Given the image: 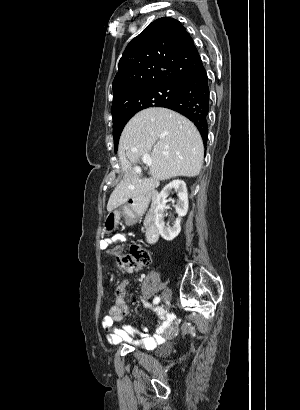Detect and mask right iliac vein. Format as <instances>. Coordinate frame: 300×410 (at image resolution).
I'll return each instance as SVG.
<instances>
[{
  "label": "right iliac vein",
  "instance_id": "obj_1",
  "mask_svg": "<svg viewBox=\"0 0 300 410\" xmlns=\"http://www.w3.org/2000/svg\"><path fill=\"white\" fill-rule=\"evenodd\" d=\"M170 296H171L170 290L166 289L162 294V300L168 301L170 299Z\"/></svg>",
  "mask_w": 300,
  "mask_h": 410
}]
</instances>
